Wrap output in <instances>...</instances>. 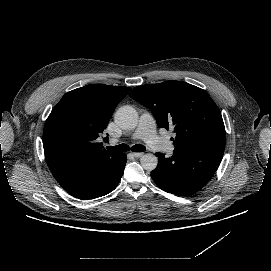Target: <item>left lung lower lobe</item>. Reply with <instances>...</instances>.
<instances>
[{"instance_id":"0a47b994","label":"left lung lower lobe","mask_w":271,"mask_h":271,"mask_svg":"<svg viewBox=\"0 0 271 271\" xmlns=\"http://www.w3.org/2000/svg\"><path fill=\"white\" fill-rule=\"evenodd\" d=\"M224 151L211 148L180 147L165 158L157 153L158 165L151 172L153 181L162 190L187 196L196 193L216 172Z\"/></svg>"}]
</instances>
